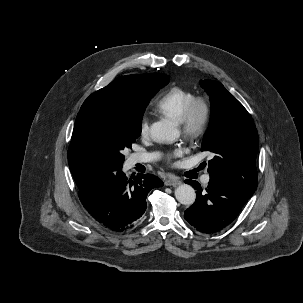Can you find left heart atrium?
<instances>
[{"mask_svg": "<svg viewBox=\"0 0 303 303\" xmlns=\"http://www.w3.org/2000/svg\"><path fill=\"white\" fill-rule=\"evenodd\" d=\"M182 154V150L181 149H174L172 151H169L167 154H166V160L168 162H171L174 158L180 156Z\"/></svg>", "mask_w": 303, "mask_h": 303, "instance_id": "left-heart-atrium-1", "label": "left heart atrium"}]
</instances>
